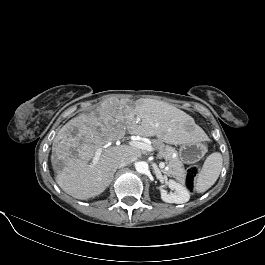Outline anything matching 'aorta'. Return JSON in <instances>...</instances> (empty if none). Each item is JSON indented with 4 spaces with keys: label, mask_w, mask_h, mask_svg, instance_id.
Returning a JSON list of instances; mask_svg holds the SVG:
<instances>
[{
    "label": "aorta",
    "mask_w": 265,
    "mask_h": 265,
    "mask_svg": "<svg viewBox=\"0 0 265 265\" xmlns=\"http://www.w3.org/2000/svg\"><path fill=\"white\" fill-rule=\"evenodd\" d=\"M136 171L140 174H146L149 172L148 163L145 161L137 162L135 165Z\"/></svg>",
    "instance_id": "aorta-1"
}]
</instances>
